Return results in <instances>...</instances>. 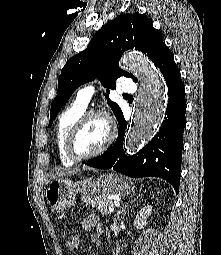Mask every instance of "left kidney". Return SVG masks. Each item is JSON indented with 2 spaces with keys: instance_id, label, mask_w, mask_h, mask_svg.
<instances>
[{
  "instance_id": "5707ae66",
  "label": "left kidney",
  "mask_w": 221,
  "mask_h": 255,
  "mask_svg": "<svg viewBox=\"0 0 221 255\" xmlns=\"http://www.w3.org/2000/svg\"><path fill=\"white\" fill-rule=\"evenodd\" d=\"M152 214V206L146 205L144 208L140 210V212L136 215L134 220V224L137 229H143L147 224V219Z\"/></svg>"
}]
</instances>
